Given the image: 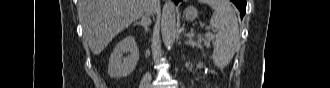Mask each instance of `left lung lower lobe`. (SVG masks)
I'll return each instance as SVG.
<instances>
[{
	"mask_svg": "<svg viewBox=\"0 0 330 88\" xmlns=\"http://www.w3.org/2000/svg\"><path fill=\"white\" fill-rule=\"evenodd\" d=\"M181 0H175V3L177 4ZM237 8L241 12V18H243L244 14L246 13V0H231Z\"/></svg>",
	"mask_w": 330,
	"mask_h": 88,
	"instance_id": "1",
	"label": "left lung lower lobe"
}]
</instances>
